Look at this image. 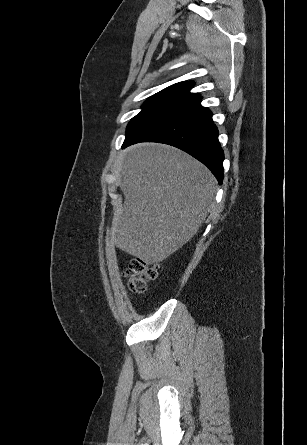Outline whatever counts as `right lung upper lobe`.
Wrapping results in <instances>:
<instances>
[{
  "instance_id": "1",
  "label": "right lung upper lobe",
  "mask_w": 307,
  "mask_h": 445,
  "mask_svg": "<svg viewBox=\"0 0 307 445\" xmlns=\"http://www.w3.org/2000/svg\"><path fill=\"white\" fill-rule=\"evenodd\" d=\"M193 86H194L193 82H186V81L179 82L163 89L162 91L156 93L154 96L179 99L188 102L190 100L200 97V95L197 93L189 92Z\"/></svg>"
}]
</instances>
